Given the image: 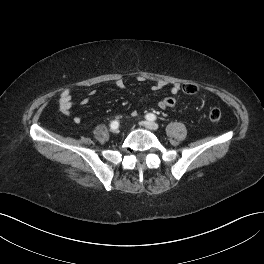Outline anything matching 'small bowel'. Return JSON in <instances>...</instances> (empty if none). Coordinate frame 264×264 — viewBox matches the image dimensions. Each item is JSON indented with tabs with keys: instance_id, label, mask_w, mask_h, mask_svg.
<instances>
[{
	"instance_id": "small-bowel-1",
	"label": "small bowel",
	"mask_w": 264,
	"mask_h": 264,
	"mask_svg": "<svg viewBox=\"0 0 264 264\" xmlns=\"http://www.w3.org/2000/svg\"><path fill=\"white\" fill-rule=\"evenodd\" d=\"M144 80H145L144 77H142V76L138 77V81L142 82ZM168 85H169V83L166 82L165 80H158L153 84L152 90L158 91V90L164 89ZM115 86L119 90H124L126 88V84H125L124 80H122V79H117L115 81ZM179 90H180V85L178 83L170 84V91L173 95L177 94L179 92ZM91 94H94V91H92ZM88 102H89L88 98H83L81 100L82 105H87ZM73 103H74L73 102V91L71 89H65L64 91H62V93L60 95V99H59V108H60L61 114L64 116H69L71 114V109H72ZM158 106L161 109H165L164 106L161 104V102H159ZM73 121L76 124H80L82 122V118L79 116H75L73 118Z\"/></svg>"
}]
</instances>
